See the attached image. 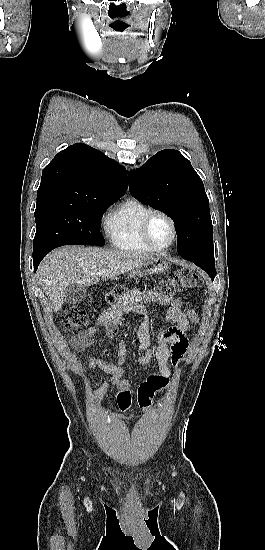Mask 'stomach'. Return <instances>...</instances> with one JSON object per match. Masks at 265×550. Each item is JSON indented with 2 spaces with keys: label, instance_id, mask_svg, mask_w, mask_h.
<instances>
[{
  "label": "stomach",
  "instance_id": "0dacf381",
  "mask_svg": "<svg viewBox=\"0 0 265 550\" xmlns=\"http://www.w3.org/2000/svg\"><path fill=\"white\" fill-rule=\"evenodd\" d=\"M169 268V263L166 259L160 255L150 256L142 264L136 267L133 271V275L147 276L152 274H158L166 271Z\"/></svg>",
  "mask_w": 265,
  "mask_h": 550
}]
</instances>
